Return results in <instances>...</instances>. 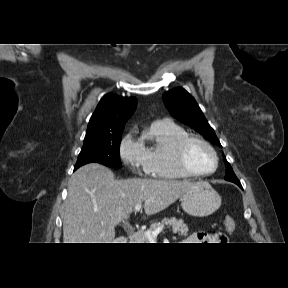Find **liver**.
<instances>
[{"mask_svg":"<svg viewBox=\"0 0 288 288\" xmlns=\"http://www.w3.org/2000/svg\"><path fill=\"white\" fill-rule=\"evenodd\" d=\"M190 181L158 179L115 180L107 167L90 163L68 182L63 215L64 243H112L115 226L128 219L137 204L156 214L194 188Z\"/></svg>","mask_w":288,"mask_h":288,"instance_id":"1","label":"liver"}]
</instances>
